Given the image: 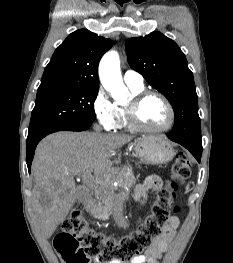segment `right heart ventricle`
Wrapping results in <instances>:
<instances>
[{"mask_svg": "<svg viewBox=\"0 0 233 263\" xmlns=\"http://www.w3.org/2000/svg\"><path fill=\"white\" fill-rule=\"evenodd\" d=\"M128 87L130 89L131 95H134V94L144 90V86H142V87L128 86ZM115 106H116V110L118 112V115L120 117L118 128L128 127L126 114H125V108L122 106H119V105H115Z\"/></svg>", "mask_w": 233, "mask_h": 263, "instance_id": "right-heart-ventricle-1", "label": "right heart ventricle"}]
</instances>
